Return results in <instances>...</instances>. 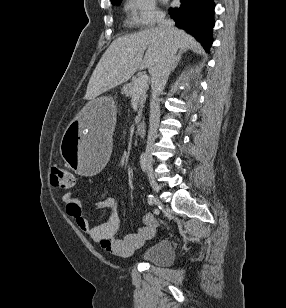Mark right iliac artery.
Returning <instances> with one entry per match:
<instances>
[{"label":"right iliac artery","mask_w":286,"mask_h":308,"mask_svg":"<svg viewBox=\"0 0 286 308\" xmlns=\"http://www.w3.org/2000/svg\"><path fill=\"white\" fill-rule=\"evenodd\" d=\"M146 163H147V155L145 153H142L140 156V165L142 170L145 172L146 169ZM148 205H152L153 206V199H152V195L148 196ZM153 211L155 214H159V210L157 207H152Z\"/></svg>","instance_id":"82829eb1"}]
</instances>
